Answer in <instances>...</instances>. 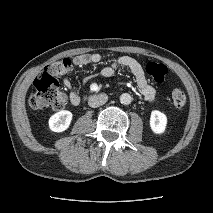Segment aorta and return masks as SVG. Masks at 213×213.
Segmentation results:
<instances>
[{
    "label": "aorta",
    "mask_w": 213,
    "mask_h": 213,
    "mask_svg": "<svg viewBox=\"0 0 213 213\" xmlns=\"http://www.w3.org/2000/svg\"><path fill=\"white\" fill-rule=\"evenodd\" d=\"M120 102L124 105H128L132 102V97L130 94L128 93H123L121 96H120Z\"/></svg>",
    "instance_id": "762f6f07"
}]
</instances>
